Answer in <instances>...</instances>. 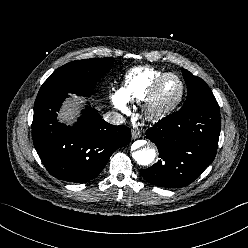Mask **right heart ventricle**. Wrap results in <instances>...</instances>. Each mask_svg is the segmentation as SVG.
<instances>
[{
  "instance_id": "obj_1",
  "label": "right heart ventricle",
  "mask_w": 248,
  "mask_h": 248,
  "mask_svg": "<svg viewBox=\"0 0 248 248\" xmlns=\"http://www.w3.org/2000/svg\"><path fill=\"white\" fill-rule=\"evenodd\" d=\"M166 72L152 67H136L129 71L121 92L127 101H144L155 82Z\"/></svg>"
}]
</instances>
